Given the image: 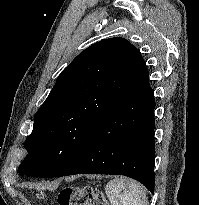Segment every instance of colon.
<instances>
[{
    "label": "colon",
    "instance_id": "5ec220e1",
    "mask_svg": "<svg viewBox=\"0 0 199 205\" xmlns=\"http://www.w3.org/2000/svg\"><path fill=\"white\" fill-rule=\"evenodd\" d=\"M57 202L58 205H107L104 196L91 187H65L59 192Z\"/></svg>",
    "mask_w": 199,
    "mask_h": 205
}]
</instances>
